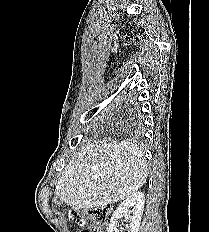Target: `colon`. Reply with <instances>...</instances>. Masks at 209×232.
Masks as SVG:
<instances>
[{
  "label": "colon",
  "mask_w": 209,
  "mask_h": 232,
  "mask_svg": "<svg viewBox=\"0 0 209 232\" xmlns=\"http://www.w3.org/2000/svg\"><path fill=\"white\" fill-rule=\"evenodd\" d=\"M109 209L96 207L72 213L73 219L82 228V232H102L107 223Z\"/></svg>",
  "instance_id": "obj_1"
}]
</instances>
